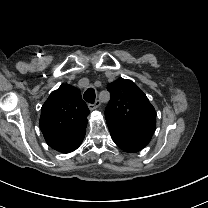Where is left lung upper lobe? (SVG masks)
I'll use <instances>...</instances> for the list:
<instances>
[{"mask_svg":"<svg viewBox=\"0 0 208 208\" xmlns=\"http://www.w3.org/2000/svg\"><path fill=\"white\" fill-rule=\"evenodd\" d=\"M111 99L105 110L107 123L140 130L149 140L156 128V112L146 95L132 81L119 78L108 84Z\"/></svg>","mask_w":208,"mask_h":208,"instance_id":"1","label":"left lung upper lobe"}]
</instances>
